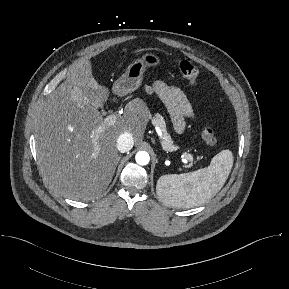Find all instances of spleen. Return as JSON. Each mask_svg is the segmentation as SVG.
<instances>
[{
  "mask_svg": "<svg viewBox=\"0 0 289 289\" xmlns=\"http://www.w3.org/2000/svg\"><path fill=\"white\" fill-rule=\"evenodd\" d=\"M233 153L222 150L208 167L184 174L161 176L156 185L159 198L179 208H192L211 200L225 184L232 166Z\"/></svg>",
  "mask_w": 289,
  "mask_h": 289,
  "instance_id": "1",
  "label": "spleen"
}]
</instances>
